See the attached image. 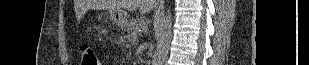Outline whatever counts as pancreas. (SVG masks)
<instances>
[{
	"label": "pancreas",
	"mask_w": 309,
	"mask_h": 65,
	"mask_svg": "<svg viewBox=\"0 0 309 65\" xmlns=\"http://www.w3.org/2000/svg\"><path fill=\"white\" fill-rule=\"evenodd\" d=\"M138 27H139V22L138 21H131L129 23V26H128L129 33H131L132 31H136L138 29Z\"/></svg>",
	"instance_id": "cf45deb5"
}]
</instances>
